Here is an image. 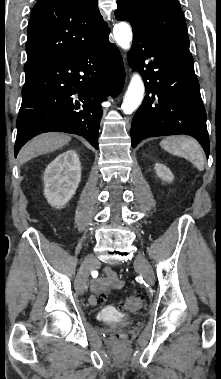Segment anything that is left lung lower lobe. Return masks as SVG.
I'll list each match as a JSON object with an SVG mask.
<instances>
[{"mask_svg":"<svg viewBox=\"0 0 221 379\" xmlns=\"http://www.w3.org/2000/svg\"><path fill=\"white\" fill-rule=\"evenodd\" d=\"M128 58L142 74L146 88L132 121V147L149 137L187 134L199 141L208 157L206 112L191 53L133 29Z\"/></svg>","mask_w":221,"mask_h":379,"instance_id":"0a47b994","label":"left lung lower lobe"}]
</instances>
